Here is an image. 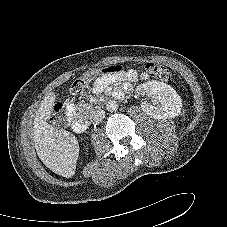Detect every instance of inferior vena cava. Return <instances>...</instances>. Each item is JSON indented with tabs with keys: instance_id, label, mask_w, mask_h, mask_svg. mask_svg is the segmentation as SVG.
Returning a JSON list of instances; mask_svg holds the SVG:
<instances>
[{
	"instance_id": "602c4592",
	"label": "inferior vena cava",
	"mask_w": 227,
	"mask_h": 227,
	"mask_svg": "<svg viewBox=\"0 0 227 227\" xmlns=\"http://www.w3.org/2000/svg\"><path fill=\"white\" fill-rule=\"evenodd\" d=\"M104 118H105V111L102 109H97L93 111L92 114L90 115V119L94 124H98L102 122Z\"/></svg>"
}]
</instances>
